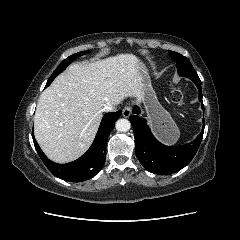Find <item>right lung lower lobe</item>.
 Instances as JSON below:
<instances>
[{"instance_id": "1", "label": "right lung lower lobe", "mask_w": 240, "mask_h": 240, "mask_svg": "<svg viewBox=\"0 0 240 240\" xmlns=\"http://www.w3.org/2000/svg\"><path fill=\"white\" fill-rule=\"evenodd\" d=\"M121 114L122 111H118L104 115L93 144L83 156L74 162L57 164L50 161L42 152L33 136L36 151L49 171L55 176L70 182L88 180L94 177L104 166L106 142Z\"/></svg>"}]
</instances>
